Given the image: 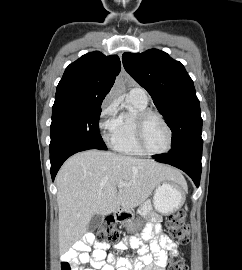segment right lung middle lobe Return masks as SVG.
<instances>
[{
    "instance_id": "right-lung-middle-lobe-1",
    "label": "right lung middle lobe",
    "mask_w": 242,
    "mask_h": 270,
    "mask_svg": "<svg viewBox=\"0 0 242 270\" xmlns=\"http://www.w3.org/2000/svg\"><path fill=\"white\" fill-rule=\"evenodd\" d=\"M101 104L61 105L52 108L50 155L71 146L89 145L106 150L99 133Z\"/></svg>"
}]
</instances>
